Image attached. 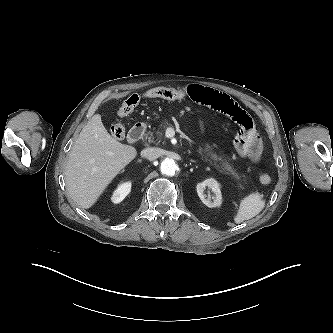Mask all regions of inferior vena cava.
Wrapping results in <instances>:
<instances>
[{
	"mask_svg": "<svg viewBox=\"0 0 333 333\" xmlns=\"http://www.w3.org/2000/svg\"><path fill=\"white\" fill-rule=\"evenodd\" d=\"M161 155V150L158 148H147L141 151V156L150 161L157 159Z\"/></svg>",
	"mask_w": 333,
	"mask_h": 333,
	"instance_id": "602c4592",
	"label": "inferior vena cava"
}]
</instances>
